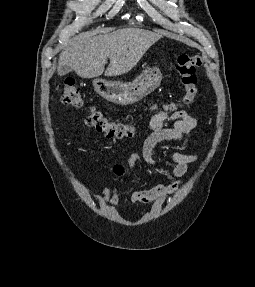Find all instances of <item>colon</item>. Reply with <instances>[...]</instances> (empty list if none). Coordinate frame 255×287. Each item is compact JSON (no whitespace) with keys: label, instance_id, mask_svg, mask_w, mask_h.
I'll use <instances>...</instances> for the list:
<instances>
[{"label":"colon","instance_id":"5ec220e1","mask_svg":"<svg viewBox=\"0 0 255 287\" xmlns=\"http://www.w3.org/2000/svg\"><path fill=\"white\" fill-rule=\"evenodd\" d=\"M201 65V59L198 56L180 54L177 57L175 70L185 89L182 98L183 105H189L195 99L197 94V76L196 70ZM61 101L63 104L81 108L84 104L82 94L73 79H67L61 88ZM178 104H166L164 109L175 111ZM85 123L94 128L97 132L104 134L109 138L130 137L135 133V126L132 123H124L110 120L101 111L94 108L89 109L85 117Z\"/></svg>","mask_w":255,"mask_h":287}]
</instances>
